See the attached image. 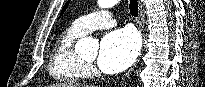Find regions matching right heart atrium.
Segmentation results:
<instances>
[{"mask_svg":"<svg viewBox=\"0 0 205 87\" xmlns=\"http://www.w3.org/2000/svg\"><path fill=\"white\" fill-rule=\"evenodd\" d=\"M92 71H93L92 66L86 65V73H87V74H90V73H92Z\"/></svg>","mask_w":205,"mask_h":87,"instance_id":"1","label":"right heart atrium"}]
</instances>
